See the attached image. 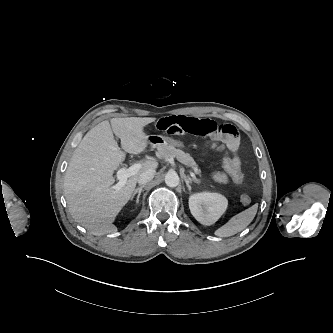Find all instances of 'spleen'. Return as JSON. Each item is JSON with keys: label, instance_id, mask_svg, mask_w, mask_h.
<instances>
[{"label": "spleen", "instance_id": "obj_1", "mask_svg": "<svg viewBox=\"0 0 333 333\" xmlns=\"http://www.w3.org/2000/svg\"><path fill=\"white\" fill-rule=\"evenodd\" d=\"M258 209V204H254L248 209L236 214L223 226L219 227L214 234L218 237H230L244 230L254 219Z\"/></svg>", "mask_w": 333, "mask_h": 333}]
</instances>
